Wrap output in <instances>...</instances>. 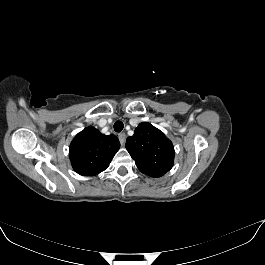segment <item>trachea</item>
<instances>
[{
    "instance_id": "3493384b",
    "label": "trachea",
    "mask_w": 265,
    "mask_h": 265,
    "mask_svg": "<svg viewBox=\"0 0 265 265\" xmlns=\"http://www.w3.org/2000/svg\"><path fill=\"white\" fill-rule=\"evenodd\" d=\"M124 128V125L121 121H116L115 124H114V130L116 132H121Z\"/></svg>"
}]
</instances>
